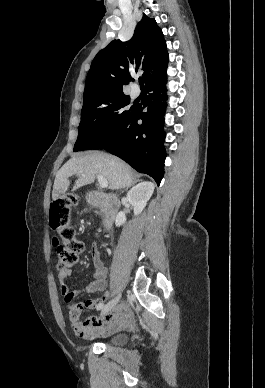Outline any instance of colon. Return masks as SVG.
Masks as SVG:
<instances>
[{
  "instance_id": "5ec220e1",
  "label": "colon",
  "mask_w": 265,
  "mask_h": 388,
  "mask_svg": "<svg viewBox=\"0 0 265 388\" xmlns=\"http://www.w3.org/2000/svg\"><path fill=\"white\" fill-rule=\"evenodd\" d=\"M76 202L75 195H67L57 198L50 206L49 223L58 235L54 249L59 270L74 266L83 249L69 222L70 209Z\"/></svg>"
}]
</instances>
